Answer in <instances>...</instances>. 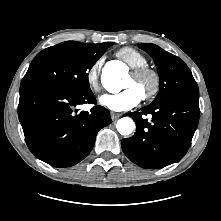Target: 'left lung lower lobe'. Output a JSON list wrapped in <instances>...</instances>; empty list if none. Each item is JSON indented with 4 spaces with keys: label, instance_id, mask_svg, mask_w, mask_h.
<instances>
[{
    "label": "left lung lower lobe",
    "instance_id": "1",
    "mask_svg": "<svg viewBox=\"0 0 221 221\" xmlns=\"http://www.w3.org/2000/svg\"><path fill=\"white\" fill-rule=\"evenodd\" d=\"M147 114L152 115L151 121L145 119ZM129 116L136 123V133L122 140L123 152L143 168L159 169L188 151L200 116L198 98H171Z\"/></svg>",
    "mask_w": 221,
    "mask_h": 221
}]
</instances>
